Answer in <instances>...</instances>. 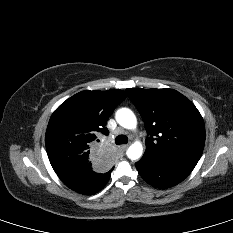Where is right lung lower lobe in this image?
Listing matches in <instances>:
<instances>
[{"label": "right lung lower lobe", "mask_w": 233, "mask_h": 233, "mask_svg": "<svg viewBox=\"0 0 233 233\" xmlns=\"http://www.w3.org/2000/svg\"><path fill=\"white\" fill-rule=\"evenodd\" d=\"M111 170L98 172L92 167L65 173H58L61 181L70 189L84 195H91L100 191L108 182Z\"/></svg>", "instance_id": "obj_1"}]
</instances>
